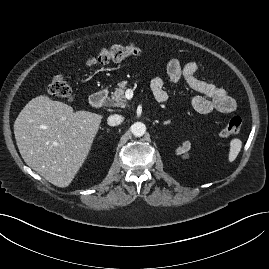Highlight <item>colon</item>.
<instances>
[{
	"instance_id": "obj_1",
	"label": "colon",
	"mask_w": 269,
	"mask_h": 269,
	"mask_svg": "<svg viewBox=\"0 0 269 269\" xmlns=\"http://www.w3.org/2000/svg\"><path fill=\"white\" fill-rule=\"evenodd\" d=\"M140 52L135 43L127 45H114L105 47L98 52L89 55L85 61L87 66L104 64L111 61H121L127 57L135 56ZM49 93L65 101L73 100V91L66 78L62 74L54 75L48 87ZM242 128V120L238 116L232 117L227 124L219 131L220 137H228L237 134Z\"/></svg>"
}]
</instances>
